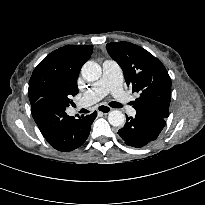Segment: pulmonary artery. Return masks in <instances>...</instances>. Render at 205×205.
<instances>
[{
	"label": "pulmonary artery",
	"instance_id": "1",
	"mask_svg": "<svg viewBox=\"0 0 205 205\" xmlns=\"http://www.w3.org/2000/svg\"><path fill=\"white\" fill-rule=\"evenodd\" d=\"M102 77L95 82L82 96L79 105L88 107L106 94L111 93L122 108L131 116L136 114V110L129 104V97L122 88V73L119 65L113 60L104 61Z\"/></svg>",
	"mask_w": 205,
	"mask_h": 205
}]
</instances>
